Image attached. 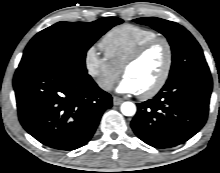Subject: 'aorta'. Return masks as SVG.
<instances>
[{"label":"aorta","mask_w":220,"mask_h":173,"mask_svg":"<svg viewBox=\"0 0 220 173\" xmlns=\"http://www.w3.org/2000/svg\"><path fill=\"white\" fill-rule=\"evenodd\" d=\"M121 112L125 116H133L136 113V106L132 102H124L121 105Z\"/></svg>","instance_id":"762f6f07"}]
</instances>
